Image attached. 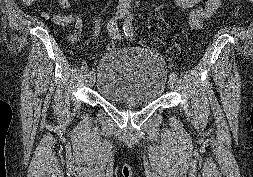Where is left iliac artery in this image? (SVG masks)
I'll use <instances>...</instances> for the list:
<instances>
[{"instance_id":"obj_1","label":"left iliac artery","mask_w":253,"mask_h":177,"mask_svg":"<svg viewBox=\"0 0 253 177\" xmlns=\"http://www.w3.org/2000/svg\"><path fill=\"white\" fill-rule=\"evenodd\" d=\"M132 20H133V16L130 15L128 17V19L125 21L124 26H123V30H124V34L126 35V37H128L131 40L135 39V35H134V29H133V25H132ZM169 77L171 79L177 80V74L174 72H171L169 74Z\"/></svg>"}]
</instances>
